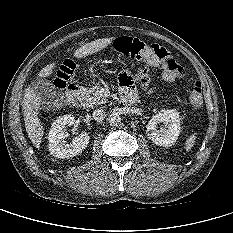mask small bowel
<instances>
[{
	"mask_svg": "<svg viewBox=\"0 0 233 233\" xmlns=\"http://www.w3.org/2000/svg\"><path fill=\"white\" fill-rule=\"evenodd\" d=\"M152 74L153 67L149 63H142L135 71L137 85L142 91H149L151 89V82L149 81V79L151 78ZM119 82L124 98L134 95V75L130 71H123L119 75Z\"/></svg>",
	"mask_w": 233,
	"mask_h": 233,
	"instance_id": "obj_1",
	"label": "small bowel"
}]
</instances>
